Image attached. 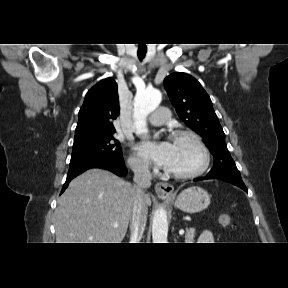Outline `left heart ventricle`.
<instances>
[{
  "label": "left heart ventricle",
  "instance_id": "b2bd125f",
  "mask_svg": "<svg viewBox=\"0 0 288 288\" xmlns=\"http://www.w3.org/2000/svg\"><path fill=\"white\" fill-rule=\"evenodd\" d=\"M173 153L169 164L170 171H189L198 167L201 163L199 150L187 139H173Z\"/></svg>",
  "mask_w": 288,
  "mask_h": 288
}]
</instances>
